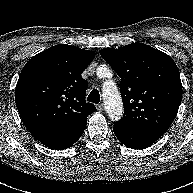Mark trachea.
<instances>
[{"label": "trachea", "mask_w": 193, "mask_h": 193, "mask_svg": "<svg viewBox=\"0 0 193 193\" xmlns=\"http://www.w3.org/2000/svg\"><path fill=\"white\" fill-rule=\"evenodd\" d=\"M87 100L89 102L98 104L100 102V93L97 89H94L90 92V94L88 95Z\"/></svg>", "instance_id": "3493384b"}]
</instances>
